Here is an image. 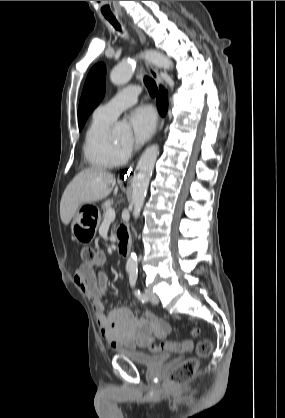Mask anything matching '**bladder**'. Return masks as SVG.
<instances>
[{
    "label": "bladder",
    "mask_w": 285,
    "mask_h": 418,
    "mask_svg": "<svg viewBox=\"0 0 285 418\" xmlns=\"http://www.w3.org/2000/svg\"><path fill=\"white\" fill-rule=\"evenodd\" d=\"M116 354L126 356L134 363L147 368L159 366L169 359L168 353H142L125 347L117 348Z\"/></svg>",
    "instance_id": "31cf9c89"
}]
</instances>
